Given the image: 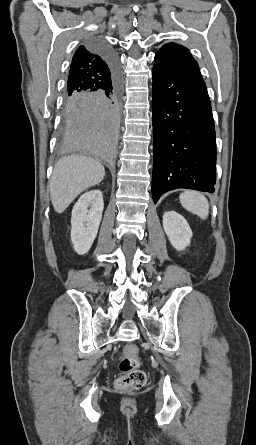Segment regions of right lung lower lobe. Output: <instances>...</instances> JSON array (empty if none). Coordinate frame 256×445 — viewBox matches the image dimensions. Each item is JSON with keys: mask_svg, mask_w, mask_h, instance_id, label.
Masks as SVG:
<instances>
[{"mask_svg": "<svg viewBox=\"0 0 256 445\" xmlns=\"http://www.w3.org/2000/svg\"><path fill=\"white\" fill-rule=\"evenodd\" d=\"M110 69L104 88L65 97L63 146L68 151L112 164L116 158L120 126L121 82L115 52L104 41L92 38Z\"/></svg>", "mask_w": 256, "mask_h": 445, "instance_id": "right-lung-lower-lobe-1", "label": "right lung lower lobe"}]
</instances>
